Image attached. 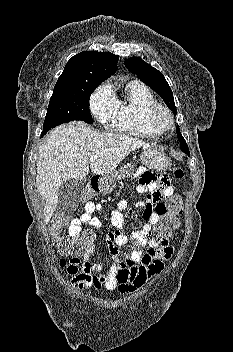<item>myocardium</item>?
Instances as JSON below:
<instances>
[{"mask_svg":"<svg viewBox=\"0 0 233 352\" xmlns=\"http://www.w3.org/2000/svg\"><path fill=\"white\" fill-rule=\"evenodd\" d=\"M145 121L147 126L158 135L170 130L173 126L171 112L161 104L148 109Z\"/></svg>","mask_w":233,"mask_h":352,"instance_id":"obj_1","label":"myocardium"}]
</instances>
